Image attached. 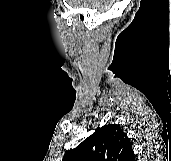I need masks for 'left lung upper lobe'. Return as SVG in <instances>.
<instances>
[{
  "label": "left lung upper lobe",
  "mask_w": 171,
  "mask_h": 161,
  "mask_svg": "<svg viewBox=\"0 0 171 161\" xmlns=\"http://www.w3.org/2000/svg\"><path fill=\"white\" fill-rule=\"evenodd\" d=\"M133 157L130 139L119 125L109 124L67 151L62 161H131Z\"/></svg>",
  "instance_id": "5c2ea615"
}]
</instances>
